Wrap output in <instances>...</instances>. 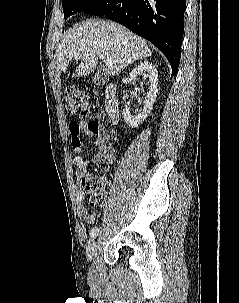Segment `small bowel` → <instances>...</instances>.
Segmentation results:
<instances>
[{
    "mask_svg": "<svg viewBox=\"0 0 239 303\" xmlns=\"http://www.w3.org/2000/svg\"><path fill=\"white\" fill-rule=\"evenodd\" d=\"M70 142L76 154L75 165L76 175L81 178L87 172V164L90 160L82 156L84 150V138L93 137V144L97 151L91 161L105 162L112 164L115 161V150L109 145L110 135L108 131L96 120L72 121L69 124ZM76 207L79 218L88 223L94 224L96 221V212L89 211L85 206V193L77 187L75 191Z\"/></svg>",
    "mask_w": 239,
    "mask_h": 303,
    "instance_id": "obj_1",
    "label": "small bowel"
}]
</instances>
